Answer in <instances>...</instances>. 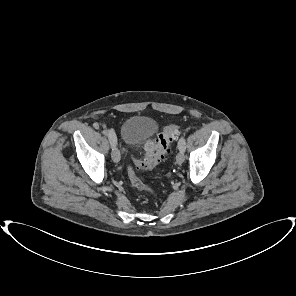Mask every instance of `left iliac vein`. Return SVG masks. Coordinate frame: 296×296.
Here are the masks:
<instances>
[{"mask_svg":"<svg viewBox=\"0 0 296 296\" xmlns=\"http://www.w3.org/2000/svg\"><path fill=\"white\" fill-rule=\"evenodd\" d=\"M184 153H183V151L182 150H180L178 153H177V155H176V162L178 163V164H182L183 162H184Z\"/></svg>","mask_w":296,"mask_h":296,"instance_id":"left-iliac-vein-1","label":"left iliac vein"}]
</instances>
